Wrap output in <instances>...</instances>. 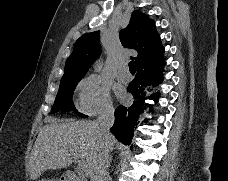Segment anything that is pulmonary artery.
<instances>
[{
  "mask_svg": "<svg viewBox=\"0 0 228 181\" xmlns=\"http://www.w3.org/2000/svg\"><path fill=\"white\" fill-rule=\"evenodd\" d=\"M129 74H117V79H129Z\"/></svg>",
  "mask_w": 228,
  "mask_h": 181,
  "instance_id": "1",
  "label": "pulmonary artery"
}]
</instances>
